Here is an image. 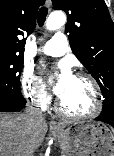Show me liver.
<instances>
[{
    "instance_id": "6515ba94",
    "label": "liver",
    "mask_w": 114,
    "mask_h": 156,
    "mask_svg": "<svg viewBox=\"0 0 114 156\" xmlns=\"http://www.w3.org/2000/svg\"><path fill=\"white\" fill-rule=\"evenodd\" d=\"M48 125L23 113L0 114V156H33L42 144Z\"/></svg>"
}]
</instances>
